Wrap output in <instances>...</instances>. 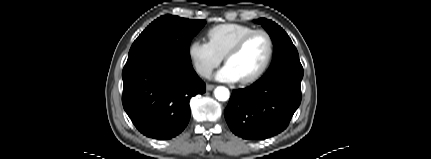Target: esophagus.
<instances>
[{
  "instance_id": "esophagus-1",
  "label": "esophagus",
  "mask_w": 431,
  "mask_h": 159,
  "mask_svg": "<svg viewBox=\"0 0 431 159\" xmlns=\"http://www.w3.org/2000/svg\"><path fill=\"white\" fill-rule=\"evenodd\" d=\"M215 88V86L214 85H212V84H207L206 85V90L207 91H211V90H213Z\"/></svg>"
}]
</instances>
